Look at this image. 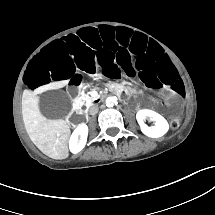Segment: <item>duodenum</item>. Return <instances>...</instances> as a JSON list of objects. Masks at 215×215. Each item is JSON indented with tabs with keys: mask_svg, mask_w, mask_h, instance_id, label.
Segmentation results:
<instances>
[{
	"mask_svg": "<svg viewBox=\"0 0 215 215\" xmlns=\"http://www.w3.org/2000/svg\"><path fill=\"white\" fill-rule=\"evenodd\" d=\"M109 94L115 95L123 101L128 100L132 97L131 91L128 89L119 87V86H111L109 89ZM104 98V95H101L93 100L94 103H100V101Z\"/></svg>",
	"mask_w": 215,
	"mask_h": 215,
	"instance_id": "410a0bca",
	"label": "duodenum"
}]
</instances>
